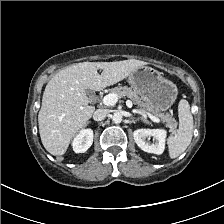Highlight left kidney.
<instances>
[{"label": "left kidney", "instance_id": "obj_1", "mask_svg": "<svg viewBox=\"0 0 224 224\" xmlns=\"http://www.w3.org/2000/svg\"><path fill=\"white\" fill-rule=\"evenodd\" d=\"M167 132L164 129H137L133 133L136 144L145 152L160 155L165 149ZM147 137H153L154 143L146 141Z\"/></svg>", "mask_w": 224, "mask_h": 224}]
</instances>
